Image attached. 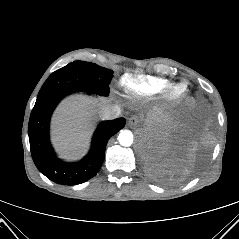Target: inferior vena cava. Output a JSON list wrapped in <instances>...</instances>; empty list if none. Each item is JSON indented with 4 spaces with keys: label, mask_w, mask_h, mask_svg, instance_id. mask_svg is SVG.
I'll return each mask as SVG.
<instances>
[{
    "label": "inferior vena cava",
    "mask_w": 239,
    "mask_h": 239,
    "mask_svg": "<svg viewBox=\"0 0 239 239\" xmlns=\"http://www.w3.org/2000/svg\"><path fill=\"white\" fill-rule=\"evenodd\" d=\"M101 115L103 118L112 120L118 118L121 115V108L118 105L106 106L102 111Z\"/></svg>",
    "instance_id": "602c4592"
}]
</instances>
